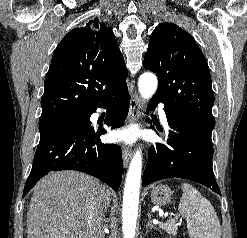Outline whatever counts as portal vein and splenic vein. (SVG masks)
<instances>
[{
	"label": "portal vein and splenic vein",
	"instance_id": "obj_1",
	"mask_svg": "<svg viewBox=\"0 0 247 238\" xmlns=\"http://www.w3.org/2000/svg\"><path fill=\"white\" fill-rule=\"evenodd\" d=\"M175 218H178V216H175ZM156 223H158V222H156Z\"/></svg>",
	"mask_w": 247,
	"mask_h": 238
}]
</instances>
